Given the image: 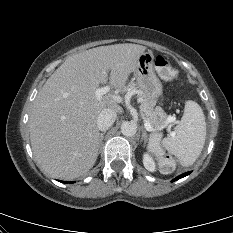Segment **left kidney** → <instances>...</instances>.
<instances>
[{"label": "left kidney", "mask_w": 233, "mask_h": 233, "mask_svg": "<svg viewBox=\"0 0 233 233\" xmlns=\"http://www.w3.org/2000/svg\"><path fill=\"white\" fill-rule=\"evenodd\" d=\"M143 164H144V167L148 171H150V172L156 171V163L153 160L152 156L149 155V153H144V155H143Z\"/></svg>", "instance_id": "1"}]
</instances>
